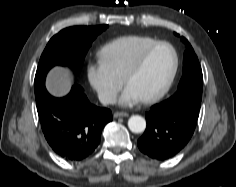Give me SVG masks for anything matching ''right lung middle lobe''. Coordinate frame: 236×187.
Segmentation results:
<instances>
[{
    "label": "right lung middle lobe",
    "instance_id": "obj_1",
    "mask_svg": "<svg viewBox=\"0 0 236 187\" xmlns=\"http://www.w3.org/2000/svg\"><path fill=\"white\" fill-rule=\"evenodd\" d=\"M107 27H69L53 36L40 57L34 81L35 94L45 87L46 75L53 66L80 68L92 41Z\"/></svg>",
    "mask_w": 236,
    "mask_h": 187
}]
</instances>
